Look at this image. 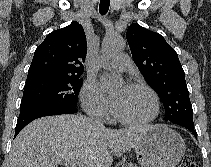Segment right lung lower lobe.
<instances>
[{
  "label": "right lung lower lobe",
  "mask_w": 211,
  "mask_h": 167,
  "mask_svg": "<svg viewBox=\"0 0 211 167\" xmlns=\"http://www.w3.org/2000/svg\"><path fill=\"white\" fill-rule=\"evenodd\" d=\"M76 112V107L56 105L35 107L21 111L16 124L15 137L27 124L39 117L61 114H73Z\"/></svg>",
  "instance_id": "obj_1"
}]
</instances>
